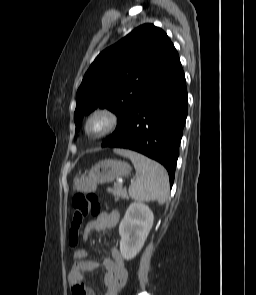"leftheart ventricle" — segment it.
Here are the masks:
<instances>
[{
    "label": "left heart ventricle",
    "instance_id": "1",
    "mask_svg": "<svg viewBox=\"0 0 256 295\" xmlns=\"http://www.w3.org/2000/svg\"><path fill=\"white\" fill-rule=\"evenodd\" d=\"M100 127V123L99 122H94L92 125H91V130L92 131H96L97 129H99Z\"/></svg>",
    "mask_w": 256,
    "mask_h": 295
}]
</instances>
